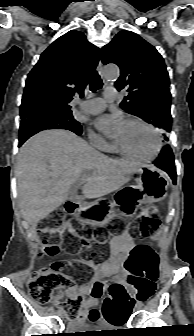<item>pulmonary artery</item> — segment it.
Listing matches in <instances>:
<instances>
[{"label": "pulmonary artery", "mask_w": 194, "mask_h": 336, "mask_svg": "<svg viewBox=\"0 0 194 336\" xmlns=\"http://www.w3.org/2000/svg\"><path fill=\"white\" fill-rule=\"evenodd\" d=\"M117 98V92L114 88H107L104 92V98H94L82 103L84 111L90 114L102 112L108 102H112Z\"/></svg>", "instance_id": "1"}]
</instances>
